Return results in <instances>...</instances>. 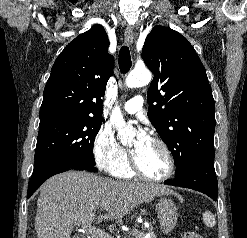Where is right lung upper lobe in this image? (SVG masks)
Here are the masks:
<instances>
[{"instance_id": "1", "label": "right lung upper lobe", "mask_w": 247, "mask_h": 238, "mask_svg": "<svg viewBox=\"0 0 247 238\" xmlns=\"http://www.w3.org/2000/svg\"><path fill=\"white\" fill-rule=\"evenodd\" d=\"M102 25L70 42L55 60L40 108V124L102 118V99L114 58Z\"/></svg>"}]
</instances>
